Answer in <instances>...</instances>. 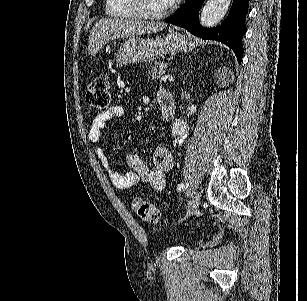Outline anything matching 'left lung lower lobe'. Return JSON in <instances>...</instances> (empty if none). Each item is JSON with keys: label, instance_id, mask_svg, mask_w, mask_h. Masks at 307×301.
Wrapping results in <instances>:
<instances>
[{"label": "left lung lower lobe", "instance_id": "left-lung-lower-lobe-1", "mask_svg": "<svg viewBox=\"0 0 307 301\" xmlns=\"http://www.w3.org/2000/svg\"><path fill=\"white\" fill-rule=\"evenodd\" d=\"M249 0H233L228 16L223 23L212 29L199 24L198 14L204 0H186V2L165 22L183 27L192 34L208 40L220 41L235 53L238 62L243 56L242 37L246 32L245 18Z\"/></svg>", "mask_w": 307, "mask_h": 301}]
</instances>
